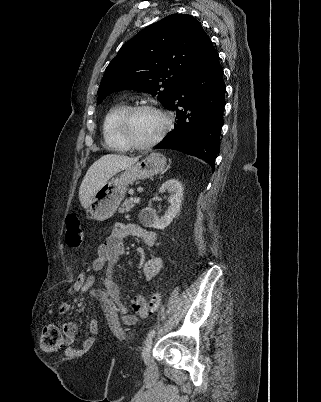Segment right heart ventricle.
Masks as SVG:
<instances>
[{"mask_svg": "<svg viewBox=\"0 0 321 402\" xmlns=\"http://www.w3.org/2000/svg\"><path fill=\"white\" fill-rule=\"evenodd\" d=\"M127 107L126 102H119L113 105L104 116L102 122L103 141L106 148L111 151L126 152L130 149L121 139L117 128V122Z\"/></svg>", "mask_w": 321, "mask_h": 402, "instance_id": "1", "label": "right heart ventricle"}]
</instances>
